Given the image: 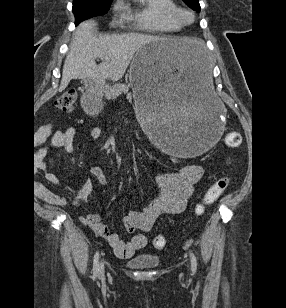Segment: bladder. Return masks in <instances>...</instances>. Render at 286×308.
<instances>
[{
    "label": "bladder",
    "instance_id": "31cf9c89",
    "mask_svg": "<svg viewBox=\"0 0 286 308\" xmlns=\"http://www.w3.org/2000/svg\"><path fill=\"white\" fill-rule=\"evenodd\" d=\"M126 262L134 269H152L160 264V259L157 256L142 253L129 258Z\"/></svg>",
    "mask_w": 286,
    "mask_h": 308
}]
</instances>
